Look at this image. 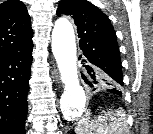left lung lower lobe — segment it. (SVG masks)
Returning a JSON list of instances; mask_svg holds the SVG:
<instances>
[{
    "mask_svg": "<svg viewBox=\"0 0 153 134\" xmlns=\"http://www.w3.org/2000/svg\"><path fill=\"white\" fill-rule=\"evenodd\" d=\"M82 62L87 64V65H84V67L86 68L89 74L88 80L86 77H84V79L86 83L90 85V87L92 88V91H94L97 89L98 86H101L105 82L107 74L105 72L100 71L95 66L88 63L86 60H82ZM110 91L119 96H122L121 91L117 89H111Z\"/></svg>",
    "mask_w": 153,
    "mask_h": 134,
    "instance_id": "0a47b994",
    "label": "left lung lower lobe"
}]
</instances>
